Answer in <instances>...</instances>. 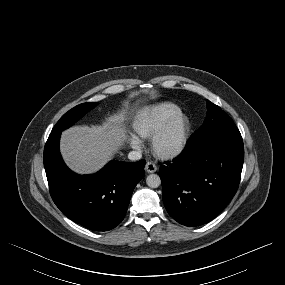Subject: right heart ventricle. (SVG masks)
<instances>
[{
    "mask_svg": "<svg viewBox=\"0 0 285 285\" xmlns=\"http://www.w3.org/2000/svg\"><path fill=\"white\" fill-rule=\"evenodd\" d=\"M181 108L170 101L158 102L140 109L134 118L133 126L142 138L152 137L160 127Z\"/></svg>",
    "mask_w": 285,
    "mask_h": 285,
    "instance_id": "obj_1",
    "label": "right heart ventricle"
}]
</instances>
